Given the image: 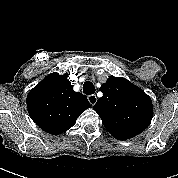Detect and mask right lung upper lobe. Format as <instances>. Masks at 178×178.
<instances>
[{
	"label": "right lung upper lobe",
	"instance_id": "obj_1",
	"mask_svg": "<svg viewBox=\"0 0 178 178\" xmlns=\"http://www.w3.org/2000/svg\"><path fill=\"white\" fill-rule=\"evenodd\" d=\"M67 76L49 74L27 97L30 117L42 130L53 135L70 129L81 113L90 108L87 98L73 90Z\"/></svg>",
	"mask_w": 178,
	"mask_h": 178
}]
</instances>
